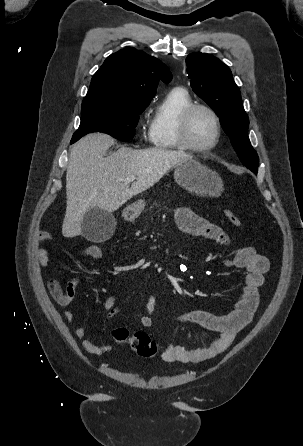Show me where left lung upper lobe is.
<instances>
[{
    "label": "left lung upper lobe",
    "mask_w": 303,
    "mask_h": 446,
    "mask_svg": "<svg viewBox=\"0 0 303 446\" xmlns=\"http://www.w3.org/2000/svg\"><path fill=\"white\" fill-rule=\"evenodd\" d=\"M186 64L193 91L215 111L240 160L257 174L259 158L247 135L249 119L230 69L201 52L189 54Z\"/></svg>",
    "instance_id": "left-lung-upper-lobe-1"
}]
</instances>
